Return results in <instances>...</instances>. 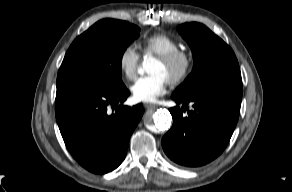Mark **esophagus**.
I'll return each mask as SVG.
<instances>
[{
    "label": "esophagus",
    "instance_id": "1",
    "mask_svg": "<svg viewBox=\"0 0 292 192\" xmlns=\"http://www.w3.org/2000/svg\"><path fill=\"white\" fill-rule=\"evenodd\" d=\"M144 106H145L146 109H155V108H157V105H155V104H145Z\"/></svg>",
    "mask_w": 292,
    "mask_h": 192
}]
</instances>
